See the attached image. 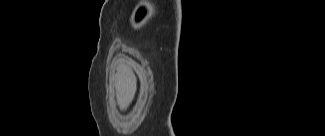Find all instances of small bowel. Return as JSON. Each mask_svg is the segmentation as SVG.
I'll list each match as a JSON object with an SVG mask.
<instances>
[{
  "label": "small bowel",
  "mask_w": 325,
  "mask_h": 136,
  "mask_svg": "<svg viewBox=\"0 0 325 136\" xmlns=\"http://www.w3.org/2000/svg\"><path fill=\"white\" fill-rule=\"evenodd\" d=\"M133 82L131 79H127L125 82H124V92H125V95L128 96L131 94V92L133 91Z\"/></svg>",
  "instance_id": "1"
}]
</instances>
